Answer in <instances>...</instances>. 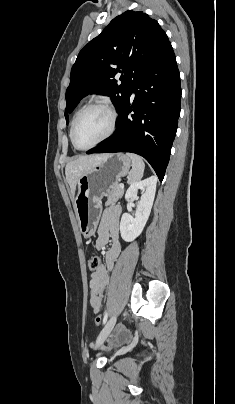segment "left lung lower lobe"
<instances>
[{
    "mask_svg": "<svg viewBox=\"0 0 235 404\" xmlns=\"http://www.w3.org/2000/svg\"><path fill=\"white\" fill-rule=\"evenodd\" d=\"M135 92L133 103L130 96ZM119 110L116 131L87 152H131L144 157L163 180L180 114L181 86L169 43L133 84ZM133 112V114H130Z\"/></svg>",
    "mask_w": 235,
    "mask_h": 404,
    "instance_id": "obj_1",
    "label": "left lung lower lobe"
}]
</instances>
